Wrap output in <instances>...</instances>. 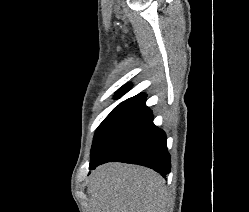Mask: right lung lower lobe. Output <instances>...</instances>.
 Returning <instances> with one entry per match:
<instances>
[{
    "label": "right lung lower lobe",
    "instance_id": "right-lung-lower-lobe-1",
    "mask_svg": "<svg viewBox=\"0 0 249 212\" xmlns=\"http://www.w3.org/2000/svg\"><path fill=\"white\" fill-rule=\"evenodd\" d=\"M145 98L132 101L109 127L91 155L90 170L119 161L149 167L164 178L170 172L166 135L153 124Z\"/></svg>",
    "mask_w": 249,
    "mask_h": 212
}]
</instances>
